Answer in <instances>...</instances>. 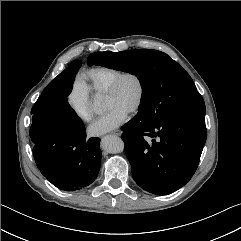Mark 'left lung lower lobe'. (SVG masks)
Listing matches in <instances>:
<instances>
[{"instance_id":"obj_1","label":"left lung lower lobe","mask_w":241,"mask_h":241,"mask_svg":"<svg viewBox=\"0 0 241 241\" xmlns=\"http://www.w3.org/2000/svg\"><path fill=\"white\" fill-rule=\"evenodd\" d=\"M121 129L133 179L156 195L173 193L191 179L207 137L205 114L185 112L156 122L135 116ZM147 136L157 140L148 143Z\"/></svg>"}]
</instances>
